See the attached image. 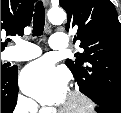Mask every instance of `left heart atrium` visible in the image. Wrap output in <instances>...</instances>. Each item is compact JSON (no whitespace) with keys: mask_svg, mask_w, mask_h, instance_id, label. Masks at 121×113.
<instances>
[{"mask_svg":"<svg viewBox=\"0 0 121 113\" xmlns=\"http://www.w3.org/2000/svg\"><path fill=\"white\" fill-rule=\"evenodd\" d=\"M23 91L42 104H59L65 101L67 75L51 61L38 60L21 73Z\"/></svg>","mask_w":121,"mask_h":113,"instance_id":"1","label":"left heart atrium"}]
</instances>
